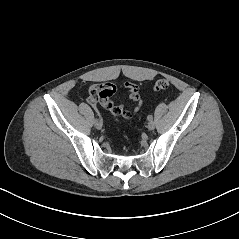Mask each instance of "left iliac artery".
<instances>
[{"label": "left iliac artery", "instance_id": "1", "mask_svg": "<svg viewBox=\"0 0 239 239\" xmlns=\"http://www.w3.org/2000/svg\"><path fill=\"white\" fill-rule=\"evenodd\" d=\"M147 119H148L149 121H152V120H153L152 115H148V116H147Z\"/></svg>", "mask_w": 239, "mask_h": 239}]
</instances>
